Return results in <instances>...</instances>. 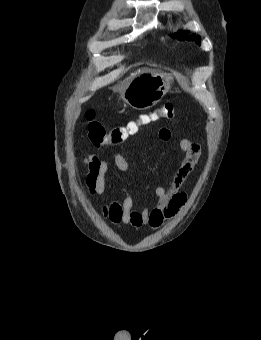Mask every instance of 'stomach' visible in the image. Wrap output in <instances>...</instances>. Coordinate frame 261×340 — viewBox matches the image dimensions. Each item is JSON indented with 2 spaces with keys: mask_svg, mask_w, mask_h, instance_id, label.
I'll return each instance as SVG.
<instances>
[{
  "mask_svg": "<svg viewBox=\"0 0 261 340\" xmlns=\"http://www.w3.org/2000/svg\"><path fill=\"white\" fill-rule=\"evenodd\" d=\"M171 87V79L155 71H145L120 88V97L137 110L156 105Z\"/></svg>",
  "mask_w": 261,
  "mask_h": 340,
  "instance_id": "obj_1",
  "label": "stomach"
}]
</instances>
